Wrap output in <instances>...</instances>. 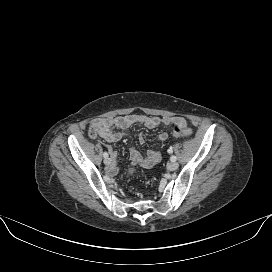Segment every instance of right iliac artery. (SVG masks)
<instances>
[{"label": "right iliac artery", "mask_w": 272, "mask_h": 272, "mask_svg": "<svg viewBox=\"0 0 272 272\" xmlns=\"http://www.w3.org/2000/svg\"><path fill=\"white\" fill-rule=\"evenodd\" d=\"M103 156H104V158H107L108 157V153L104 152Z\"/></svg>", "instance_id": "right-iliac-artery-1"}]
</instances>
